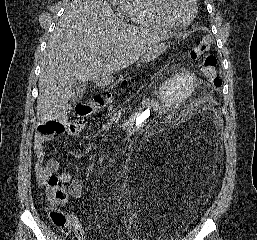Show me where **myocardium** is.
<instances>
[{
	"label": "myocardium",
	"instance_id": "obj_1",
	"mask_svg": "<svg viewBox=\"0 0 257 240\" xmlns=\"http://www.w3.org/2000/svg\"><path fill=\"white\" fill-rule=\"evenodd\" d=\"M164 2L165 0H155V8L156 11L159 15V17L171 28L174 29H184L187 28L188 26H190L193 21L196 18L197 12H198V6H197V2L196 0H190L191 5H192V14L189 18L188 21H186L183 24H177L175 22H173L166 14L165 9H164Z\"/></svg>",
	"mask_w": 257,
	"mask_h": 240
}]
</instances>
